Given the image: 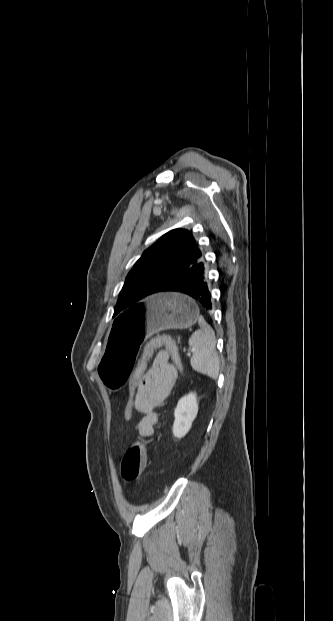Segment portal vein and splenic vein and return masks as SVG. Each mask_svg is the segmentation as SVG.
Returning <instances> with one entry per match:
<instances>
[{
	"mask_svg": "<svg viewBox=\"0 0 333 621\" xmlns=\"http://www.w3.org/2000/svg\"><path fill=\"white\" fill-rule=\"evenodd\" d=\"M190 355H191V352L188 353V356H190Z\"/></svg>",
	"mask_w": 333,
	"mask_h": 621,
	"instance_id": "1",
	"label": "portal vein and splenic vein"
}]
</instances>
